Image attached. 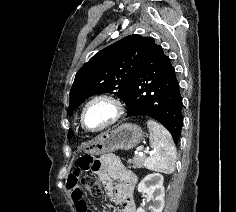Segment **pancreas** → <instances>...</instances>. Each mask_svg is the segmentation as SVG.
I'll return each instance as SVG.
<instances>
[{"label":"pancreas","mask_w":236,"mask_h":212,"mask_svg":"<svg viewBox=\"0 0 236 212\" xmlns=\"http://www.w3.org/2000/svg\"><path fill=\"white\" fill-rule=\"evenodd\" d=\"M147 160V157L144 156H139V155H135L133 160L129 159L128 163H132L133 164V168H143V166L145 165Z\"/></svg>","instance_id":"cf45deb5"}]
</instances>
